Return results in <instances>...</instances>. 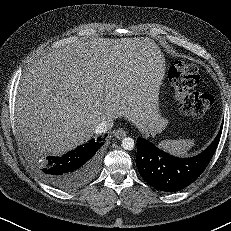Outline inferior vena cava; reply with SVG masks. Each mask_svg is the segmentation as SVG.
Listing matches in <instances>:
<instances>
[{"mask_svg": "<svg viewBox=\"0 0 231 231\" xmlns=\"http://www.w3.org/2000/svg\"><path fill=\"white\" fill-rule=\"evenodd\" d=\"M112 126H113L112 120H103L97 125L95 132L97 134L105 133L108 130H110L112 128Z\"/></svg>", "mask_w": 231, "mask_h": 231, "instance_id": "obj_1", "label": "inferior vena cava"}]
</instances>
